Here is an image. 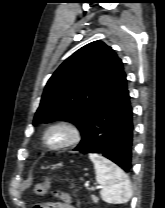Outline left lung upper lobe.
Segmentation results:
<instances>
[{"label": "left lung upper lobe", "mask_w": 165, "mask_h": 208, "mask_svg": "<svg viewBox=\"0 0 165 208\" xmlns=\"http://www.w3.org/2000/svg\"><path fill=\"white\" fill-rule=\"evenodd\" d=\"M122 72L123 63L111 47L102 41L85 45L47 82L33 125L63 120L83 132Z\"/></svg>", "instance_id": "obj_1"}]
</instances>
